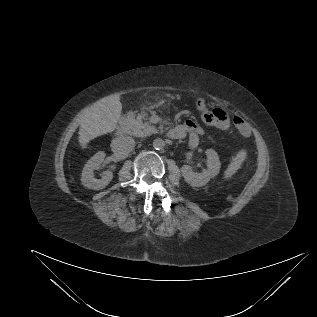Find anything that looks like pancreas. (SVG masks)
<instances>
[{
	"label": "pancreas",
	"mask_w": 317,
	"mask_h": 317,
	"mask_svg": "<svg viewBox=\"0 0 317 317\" xmlns=\"http://www.w3.org/2000/svg\"><path fill=\"white\" fill-rule=\"evenodd\" d=\"M146 116L145 113H139L137 115L130 114L127 118V133L137 137H144L156 133L157 129L155 126H152L148 121L144 122Z\"/></svg>",
	"instance_id": "pancreas-1"
}]
</instances>
